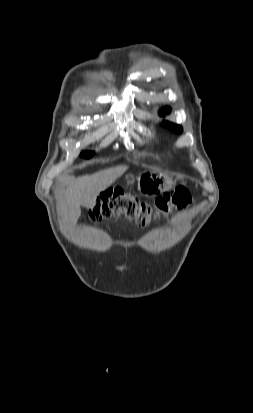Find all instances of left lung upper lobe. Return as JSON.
I'll return each instance as SVG.
<instances>
[{
	"label": "left lung upper lobe",
	"mask_w": 253,
	"mask_h": 413,
	"mask_svg": "<svg viewBox=\"0 0 253 413\" xmlns=\"http://www.w3.org/2000/svg\"><path fill=\"white\" fill-rule=\"evenodd\" d=\"M166 112L169 113L170 110L164 108V109H162V110L160 111V115H165ZM165 125L168 126V128H170V129H171L172 131H174V132H178V133H181V132H182V128H181V126H179V125L172 124V123H169V122H165Z\"/></svg>",
	"instance_id": "obj_1"
}]
</instances>
